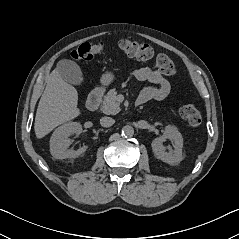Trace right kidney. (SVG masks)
<instances>
[{
  "instance_id": "right-kidney-1",
  "label": "right kidney",
  "mask_w": 239,
  "mask_h": 239,
  "mask_svg": "<svg viewBox=\"0 0 239 239\" xmlns=\"http://www.w3.org/2000/svg\"><path fill=\"white\" fill-rule=\"evenodd\" d=\"M82 132V125L78 122H68L58 127L50 139V152L56 159L76 158L84 153L88 146L84 145L76 151L68 149L72 134L79 135Z\"/></svg>"
}]
</instances>
